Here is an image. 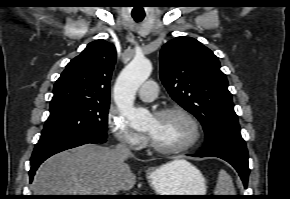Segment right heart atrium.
Masks as SVG:
<instances>
[{
	"label": "right heart atrium",
	"instance_id": "d8ad5b80",
	"mask_svg": "<svg viewBox=\"0 0 290 199\" xmlns=\"http://www.w3.org/2000/svg\"><path fill=\"white\" fill-rule=\"evenodd\" d=\"M107 124L115 139L131 149H139L145 143V137L135 131L127 119L115 110H109Z\"/></svg>",
	"mask_w": 290,
	"mask_h": 199
}]
</instances>
